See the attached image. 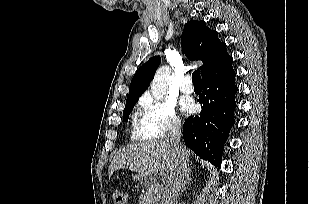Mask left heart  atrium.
<instances>
[{
    "mask_svg": "<svg viewBox=\"0 0 309 204\" xmlns=\"http://www.w3.org/2000/svg\"><path fill=\"white\" fill-rule=\"evenodd\" d=\"M181 106H182L183 111H185L187 113L192 112L193 109H194V105H193L192 101L189 100V99H184L181 102Z\"/></svg>",
    "mask_w": 309,
    "mask_h": 204,
    "instance_id": "left-heart-atrium-1",
    "label": "left heart atrium"
}]
</instances>
